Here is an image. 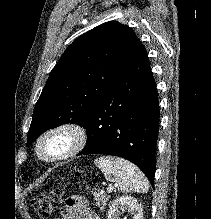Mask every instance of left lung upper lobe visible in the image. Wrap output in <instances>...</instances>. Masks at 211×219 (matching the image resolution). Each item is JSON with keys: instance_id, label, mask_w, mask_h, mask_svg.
<instances>
[{"instance_id": "obj_1", "label": "left lung upper lobe", "mask_w": 211, "mask_h": 219, "mask_svg": "<svg viewBox=\"0 0 211 219\" xmlns=\"http://www.w3.org/2000/svg\"><path fill=\"white\" fill-rule=\"evenodd\" d=\"M143 49L134 31L119 22H106L78 37L49 75L33 112L27 146L59 125L83 126Z\"/></svg>"}]
</instances>
